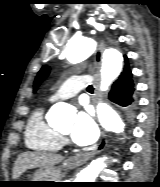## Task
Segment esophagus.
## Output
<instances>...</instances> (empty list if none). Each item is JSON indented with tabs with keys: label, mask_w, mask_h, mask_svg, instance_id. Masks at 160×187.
<instances>
[{
	"label": "esophagus",
	"mask_w": 160,
	"mask_h": 187,
	"mask_svg": "<svg viewBox=\"0 0 160 187\" xmlns=\"http://www.w3.org/2000/svg\"><path fill=\"white\" fill-rule=\"evenodd\" d=\"M104 48H105V45L101 42L97 48V51L94 57V69H97L101 63ZM96 75H97L96 72H94L95 77ZM106 146H107V140H106L105 134L103 133L102 138L97 145L93 146L92 148H90L89 150L85 152L75 155L73 160L76 163L83 164L87 162L88 160H90L92 157H94L97 153L103 151L106 148Z\"/></svg>",
	"instance_id": "obj_1"
}]
</instances>
